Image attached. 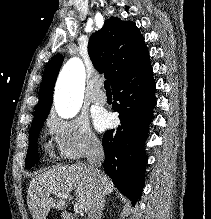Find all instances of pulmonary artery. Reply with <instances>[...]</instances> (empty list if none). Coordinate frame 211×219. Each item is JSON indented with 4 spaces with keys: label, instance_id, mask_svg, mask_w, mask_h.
Instances as JSON below:
<instances>
[{
    "label": "pulmonary artery",
    "instance_id": "e3ab8cb5",
    "mask_svg": "<svg viewBox=\"0 0 211 219\" xmlns=\"http://www.w3.org/2000/svg\"><path fill=\"white\" fill-rule=\"evenodd\" d=\"M92 103L96 105H104L107 101L106 94L100 89V85H96L95 89L90 95Z\"/></svg>",
    "mask_w": 211,
    "mask_h": 219
}]
</instances>
